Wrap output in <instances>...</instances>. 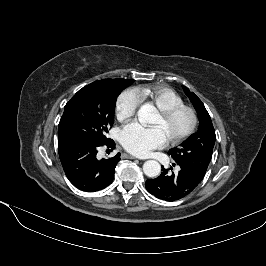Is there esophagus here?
I'll list each match as a JSON object with an SVG mask.
<instances>
[{"mask_svg": "<svg viewBox=\"0 0 266 266\" xmlns=\"http://www.w3.org/2000/svg\"><path fill=\"white\" fill-rule=\"evenodd\" d=\"M122 158H128V159H137L136 157L129 155V154H123Z\"/></svg>", "mask_w": 266, "mask_h": 266, "instance_id": "esophagus-1", "label": "esophagus"}]
</instances>
